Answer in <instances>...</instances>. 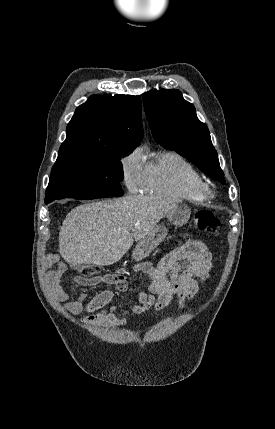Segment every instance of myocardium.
I'll return each mask as SVG.
<instances>
[{"label": "myocardium", "mask_w": 275, "mask_h": 429, "mask_svg": "<svg viewBox=\"0 0 275 429\" xmlns=\"http://www.w3.org/2000/svg\"><path fill=\"white\" fill-rule=\"evenodd\" d=\"M201 193L205 198H209L213 196V191L210 186L204 182L200 187Z\"/></svg>", "instance_id": "f54148a6"}]
</instances>
